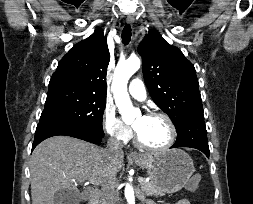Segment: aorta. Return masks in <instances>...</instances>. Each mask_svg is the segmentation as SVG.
Wrapping results in <instances>:
<instances>
[{"mask_svg":"<svg viewBox=\"0 0 253 204\" xmlns=\"http://www.w3.org/2000/svg\"><path fill=\"white\" fill-rule=\"evenodd\" d=\"M141 61L138 57H130L117 65L112 81V91L116 106L124 122H131L140 114L139 109L133 107L127 84L130 77L140 68ZM125 197L128 204H135L133 187L127 183L125 186Z\"/></svg>","mask_w":253,"mask_h":204,"instance_id":"762f6f07","label":"aorta"}]
</instances>
